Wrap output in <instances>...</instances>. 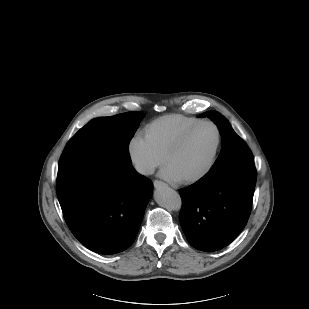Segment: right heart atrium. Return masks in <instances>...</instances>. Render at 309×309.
Here are the masks:
<instances>
[{
    "label": "right heart atrium",
    "mask_w": 309,
    "mask_h": 309,
    "mask_svg": "<svg viewBox=\"0 0 309 309\" xmlns=\"http://www.w3.org/2000/svg\"><path fill=\"white\" fill-rule=\"evenodd\" d=\"M128 156L134 169L142 175L153 173L164 161V157L139 133L129 141Z\"/></svg>",
    "instance_id": "obj_1"
}]
</instances>
